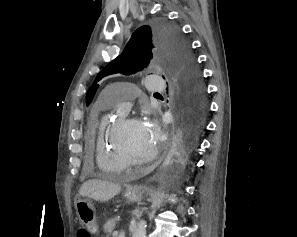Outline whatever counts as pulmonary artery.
<instances>
[{"label": "pulmonary artery", "instance_id": "1", "mask_svg": "<svg viewBox=\"0 0 297 237\" xmlns=\"http://www.w3.org/2000/svg\"><path fill=\"white\" fill-rule=\"evenodd\" d=\"M146 88L150 92L163 91L165 84L160 76H150L145 79ZM134 90L130 88H123L116 97L109 100V104L119 107L121 112H126L131 100L134 98Z\"/></svg>", "mask_w": 297, "mask_h": 237}]
</instances>
